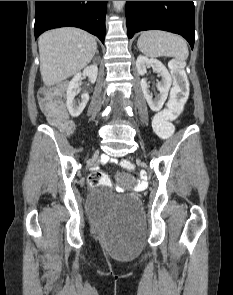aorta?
<instances>
[{"instance_id":"1","label":"aorta","mask_w":233,"mask_h":295,"mask_svg":"<svg viewBox=\"0 0 233 295\" xmlns=\"http://www.w3.org/2000/svg\"><path fill=\"white\" fill-rule=\"evenodd\" d=\"M125 3L126 1H113L114 8L117 11H120L124 7Z\"/></svg>"}]
</instances>
